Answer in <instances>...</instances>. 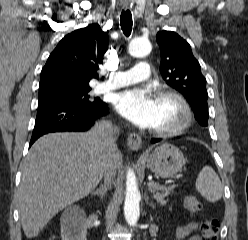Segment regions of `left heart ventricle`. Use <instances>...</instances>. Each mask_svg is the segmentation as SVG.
Wrapping results in <instances>:
<instances>
[{
    "mask_svg": "<svg viewBox=\"0 0 248 240\" xmlns=\"http://www.w3.org/2000/svg\"><path fill=\"white\" fill-rule=\"evenodd\" d=\"M158 121L154 129L175 125L181 118V109L171 98H157Z\"/></svg>",
    "mask_w": 248,
    "mask_h": 240,
    "instance_id": "b2bd125f",
    "label": "left heart ventricle"
}]
</instances>
